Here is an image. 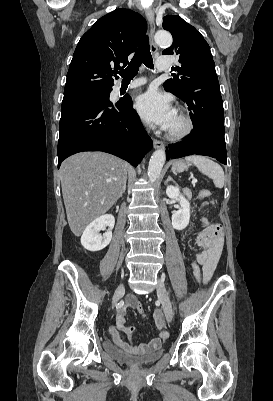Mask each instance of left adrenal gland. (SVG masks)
Segmentation results:
<instances>
[{"label":"left adrenal gland","mask_w":273,"mask_h":401,"mask_svg":"<svg viewBox=\"0 0 273 401\" xmlns=\"http://www.w3.org/2000/svg\"><path fill=\"white\" fill-rule=\"evenodd\" d=\"M169 180H173L172 176H168V178H166L164 184H167V182H169ZM173 182H175V180H173Z\"/></svg>","instance_id":"a2214340"}]
</instances>
